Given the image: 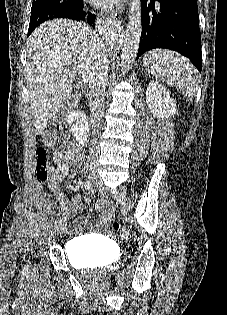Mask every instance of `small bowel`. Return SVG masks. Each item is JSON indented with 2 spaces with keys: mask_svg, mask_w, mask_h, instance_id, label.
Masks as SVG:
<instances>
[{
  "mask_svg": "<svg viewBox=\"0 0 227 315\" xmlns=\"http://www.w3.org/2000/svg\"><path fill=\"white\" fill-rule=\"evenodd\" d=\"M82 159V153L77 145H72L65 153H57L53 156V161L56 165V172L49 180V187L60 204L63 206L66 214H72L81 209V205L77 198L68 201L64 198L60 189V183L63 179L71 175V168H77ZM33 195L39 208L43 209L48 215L52 214L57 209V204L50 202L43 191V186L35 183L33 186ZM95 207L102 213L104 220L111 219L113 215V207L108 201H97Z\"/></svg>",
  "mask_w": 227,
  "mask_h": 315,
  "instance_id": "c3829d8e",
  "label": "small bowel"
}]
</instances>
